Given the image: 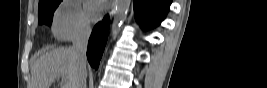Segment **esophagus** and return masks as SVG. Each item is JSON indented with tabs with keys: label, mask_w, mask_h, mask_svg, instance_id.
Returning <instances> with one entry per match:
<instances>
[{
	"label": "esophagus",
	"mask_w": 267,
	"mask_h": 88,
	"mask_svg": "<svg viewBox=\"0 0 267 88\" xmlns=\"http://www.w3.org/2000/svg\"><path fill=\"white\" fill-rule=\"evenodd\" d=\"M113 9H114V7H112V11H111L110 13H112V12H113Z\"/></svg>",
	"instance_id": "obj_1"
}]
</instances>
